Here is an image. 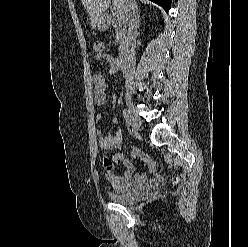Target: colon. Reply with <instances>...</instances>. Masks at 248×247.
Instances as JSON below:
<instances>
[{"label": "colon", "mask_w": 248, "mask_h": 247, "mask_svg": "<svg viewBox=\"0 0 248 247\" xmlns=\"http://www.w3.org/2000/svg\"><path fill=\"white\" fill-rule=\"evenodd\" d=\"M103 48L104 46L101 41H97L94 43V50L97 54L102 53ZM133 157L144 161L147 164L150 171L155 172L157 170V163L152 158L141 152L140 150H134Z\"/></svg>", "instance_id": "5ec220e1"}]
</instances>
